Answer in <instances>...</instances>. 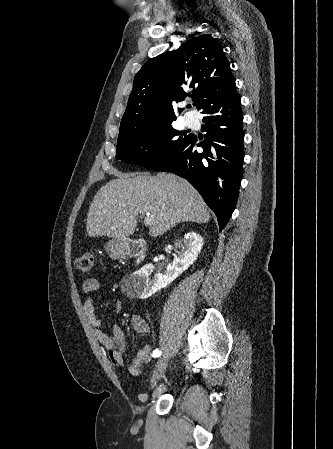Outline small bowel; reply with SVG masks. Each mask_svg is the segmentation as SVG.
<instances>
[{"label":"small bowel","mask_w":333,"mask_h":449,"mask_svg":"<svg viewBox=\"0 0 333 449\" xmlns=\"http://www.w3.org/2000/svg\"><path fill=\"white\" fill-rule=\"evenodd\" d=\"M83 292L87 296L83 310L87 317L89 324L94 328V333L97 340L108 351V356L113 365L123 366L125 361V353L129 348L127 337L118 325H113L111 333L107 334L101 330V320L97 317L95 312L94 298L99 290V282L95 278H89L83 282ZM121 310L120 301L115 303V312ZM131 325L133 329L140 334H147L150 331L149 324L139 314H134L131 317ZM154 347L152 344H146L140 348L129 366L131 374L138 375L141 372L142 366L145 362L150 360L153 354Z\"/></svg>","instance_id":"1"}]
</instances>
